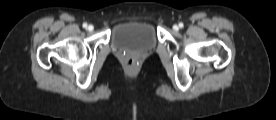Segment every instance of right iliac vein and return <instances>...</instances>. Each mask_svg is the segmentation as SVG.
<instances>
[{"mask_svg": "<svg viewBox=\"0 0 276 120\" xmlns=\"http://www.w3.org/2000/svg\"><path fill=\"white\" fill-rule=\"evenodd\" d=\"M87 29H88V31H90V32H91V31H93V30H94V26H93V25H89Z\"/></svg>", "mask_w": 276, "mask_h": 120, "instance_id": "right-iliac-vein-1", "label": "right iliac vein"}]
</instances>
